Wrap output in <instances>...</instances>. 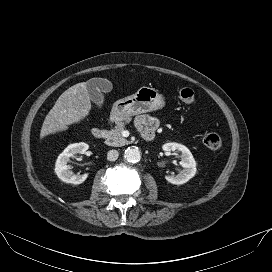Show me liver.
I'll return each instance as SVG.
<instances>
[{
  "label": "liver",
  "instance_id": "1",
  "mask_svg": "<svg viewBox=\"0 0 272 272\" xmlns=\"http://www.w3.org/2000/svg\"><path fill=\"white\" fill-rule=\"evenodd\" d=\"M91 100L87 90V82L73 85L64 91L46 115L40 139L68 130L72 124L80 123L89 115Z\"/></svg>",
  "mask_w": 272,
  "mask_h": 272
}]
</instances>
